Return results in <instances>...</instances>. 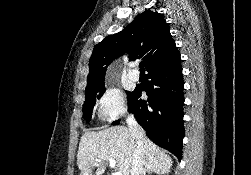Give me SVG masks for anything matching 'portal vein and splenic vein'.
Wrapping results in <instances>:
<instances>
[{
    "label": "portal vein and splenic vein",
    "mask_w": 251,
    "mask_h": 175,
    "mask_svg": "<svg viewBox=\"0 0 251 175\" xmlns=\"http://www.w3.org/2000/svg\"><path fill=\"white\" fill-rule=\"evenodd\" d=\"M96 161L99 163V161H102V159H96ZM109 163L110 167H115L116 159H114V157H109ZM113 175H123V173H121V171H114Z\"/></svg>",
    "instance_id": "portal-vein-and-splenic-vein-1"
}]
</instances>
